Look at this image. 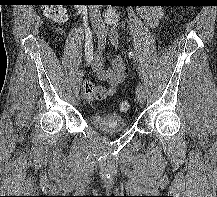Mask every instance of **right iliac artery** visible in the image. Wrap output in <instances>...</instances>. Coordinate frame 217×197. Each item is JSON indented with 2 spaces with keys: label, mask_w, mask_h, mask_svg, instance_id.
<instances>
[{
  "label": "right iliac artery",
  "mask_w": 217,
  "mask_h": 197,
  "mask_svg": "<svg viewBox=\"0 0 217 197\" xmlns=\"http://www.w3.org/2000/svg\"><path fill=\"white\" fill-rule=\"evenodd\" d=\"M105 43H106V35L102 32L98 36V45H105ZM82 77H83L82 72H78L75 76V80H74V92L75 93H78L80 90Z\"/></svg>",
  "instance_id": "obj_1"
}]
</instances>
